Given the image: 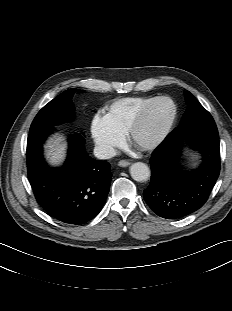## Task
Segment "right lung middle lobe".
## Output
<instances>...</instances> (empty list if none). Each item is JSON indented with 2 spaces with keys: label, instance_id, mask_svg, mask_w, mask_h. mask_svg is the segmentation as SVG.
<instances>
[{
  "label": "right lung middle lobe",
  "instance_id": "obj_1",
  "mask_svg": "<svg viewBox=\"0 0 232 311\" xmlns=\"http://www.w3.org/2000/svg\"><path fill=\"white\" fill-rule=\"evenodd\" d=\"M76 91V88L68 89L45 105L34 118L29 133L70 120L74 112L71 99Z\"/></svg>",
  "mask_w": 232,
  "mask_h": 311
}]
</instances>
